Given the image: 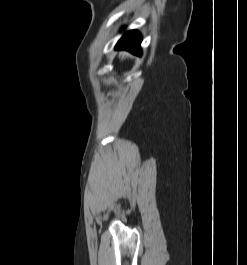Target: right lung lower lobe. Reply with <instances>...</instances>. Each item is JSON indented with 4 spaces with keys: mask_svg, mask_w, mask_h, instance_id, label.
<instances>
[{
    "mask_svg": "<svg viewBox=\"0 0 247 265\" xmlns=\"http://www.w3.org/2000/svg\"><path fill=\"white\" fill-rule=\"evenodd\" d=\"M141 36L137 31L126 32L116 45V49L128 50L134 54H140Z\"/></svg>",
    "mask_w": 247,
    "mask_h": 265,
    "instance_id": "right-lung-lower-lobe-1",
    "label": "right lung lower lobe"
}]
</instances>
